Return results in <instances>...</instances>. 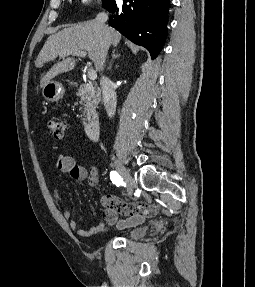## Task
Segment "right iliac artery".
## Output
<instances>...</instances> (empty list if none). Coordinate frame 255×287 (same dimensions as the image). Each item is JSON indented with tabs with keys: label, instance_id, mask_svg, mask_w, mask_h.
I'll use <instances>...</instances> for the list:
<instances>
[{
	"label": "right iliac artery",
	"instance_id": "1",
	"mask_svg": "<svg viewBox=\"0 0 255 287\" xmlns=\"http://www.w3.org/2000/svg\"><path fill=\"white\" fill-rule=\"evenodd\" d=\"M110 179L113 184H116V186H121L123 185V179L121 176L116 172V171H111L110 172Z\"/></svg>",
	"mask_w": 255,
	"mask_h": 287
}]
</instances>
